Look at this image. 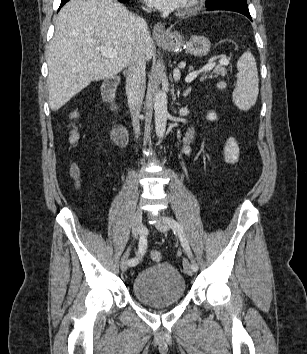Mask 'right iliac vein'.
Segmentation results:
<instances>
[{
    "instance_id": "right-iliac-vein-1",
    "label": "right iliac vein",
    "mask_w": 307,
    "mask_h": 354,
    "mask_svg": "<svg viewBox=\"0 0 307 354\" xmlns=\"http://www.w3.org/2000/svg\"><path fill=\"white\" fill-rule=\"evenodd\" d=\"M141 222H142V209L140 207H137L133 216V223H132V232L135 238H137L141 233ZM128 257H129V252H126L121 258L120 268L123 272H125L128 268V264H127Z\"/></svg>"
}]
</instances>
